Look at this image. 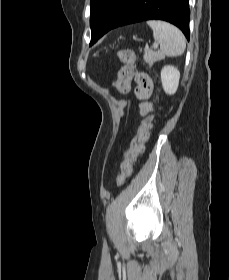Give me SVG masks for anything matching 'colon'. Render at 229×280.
Segmentation results:
<instances>
[{"label":"colon","instance_id":"5ec220e1","mask_svg":"<svg viewBox=\"0 0 229 280\" xmlns=\"http://www.w3.org/2000/svg\"><path fill=\"white\" fill-rule=\"evenodd\" d=\"M118 58L123 63V67L118 73L117 89L121 93L128 90V84L135 79L138 85L142 88L145 95H150L152 91V79L149 75L139 72L136 69V52L132 49H123L118 52ZM155 114H150L145 117L130 143V149L125 156L120 174L116 179V184L122 186L132 173L133 164L137 157L144 151L145 144L149 139L150 131Z\"/></svg>","mask_w":229,"mask_h":280}]
</instances>
